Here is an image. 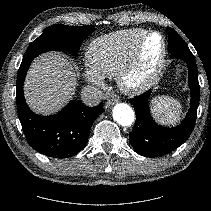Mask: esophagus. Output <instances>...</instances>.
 Here are the masks:
<instances>
[{
  "label": "esophagus",
  "instance_id": "1",
  "mask_svg": "<svg viewBox=\"0 0 211 211\" xmlns=\"http://www.w3.org/2000/svg\"><path fill=\"white\" fill-rule=\"evenodd\" d=\"M118 102V99H110V100H108L106 103H105V107L106 108H109V107H111L112 105H114L115 103H117Z\"/></svg>",
  "mask_w": 211,
  "mask_h": 211
}]
</instances>
